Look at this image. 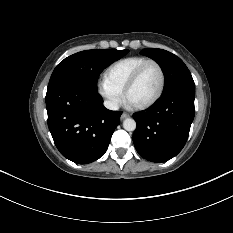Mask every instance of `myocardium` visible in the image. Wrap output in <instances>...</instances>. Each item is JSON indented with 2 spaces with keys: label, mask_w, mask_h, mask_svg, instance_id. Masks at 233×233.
Wrapping results in <instances>:
<instances>
[{
  "label": "myocardium",
  "mask_w": 233,
  "mask_h": 233,
  "mask_svg": "<svg viewBox=\"0 0 233 233\" xmlns=\"http://www.w3.org/2000/svg\"><path fill=\"white\" fill-rule=\"evenodd\" d=\"M149 65H155L158 68L159 73H160V77H161L160 87H159V90L156 93V95L151 100H149L148 102H146L144 104L134 106L136 109H139V110L147 109V108L151 107L152 105H154L161 98V96L164 92V89H165L166 75H165V71H164L163 66L158 61L153 60V59H149V60L145 61L143 64H141L133 72V74L130 76V78L128 79V81L124 87V90H123L125 99L127 100V96H128L129 91L136 84V82L139 80V78L143 74L144 70Z\"/></svg>",
  "instance_id": "1"
}]
</instances>
